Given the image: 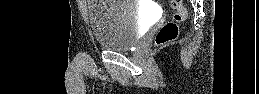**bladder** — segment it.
<instances>
[{
  "instance_id": "bladder-1",
  "label": "bladder",
  "mask_w": 259,
  "mask_h": 94,
  "mask_svg": "<svg viewBox=\"0 0 259 94\" xmlns=\"http://www.w3.org/2000/svg\"><path fill=\"white\" fill-rule=\"evenodd\" d=\"M88 21L98 46L107 51L134 48L142 37L145 16L135 0H92Z\"/></svg>"
}]
</instances>
